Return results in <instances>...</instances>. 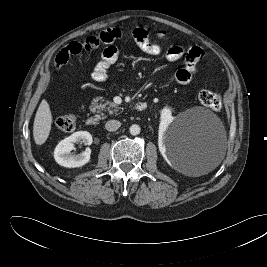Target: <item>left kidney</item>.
Masks as SVG:
<instances>
[{"label":"left kidney","mask_w":267,"mask_h":267,"mask_svg":"<svg viewBox=\"0 0 267 267\" xmlns=\"http://www.w3.org/2000/svg\"><path fill=\"white\" fill-rule=\"evenodd\" d=\"M173 120H174V117L172 116V111L167 107L163 108L161 110V116H160V125H159L160 135H163L165 133L168 126L172 123ZM159 150L162 156L164 157V159L169 161L166 155V146L162 142L159 143Z\"/></svg>","instance_id":"obj_1"}]
</instances>
